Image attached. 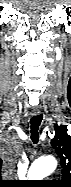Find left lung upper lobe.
Masks as SVG:
<instances>
[{"mask_svg": "<svg viewBox=\"0 0 71 187\" xmlns=\"http://www.w3.org/2000/svg\"><path fill=\"white\" fill-rule=\"evenodd\" d=\"M65 126L55 128V136L51 140V145L60 157L62 164V186H68L71 183V136L67 134Z\"/></svg>", "mask_w": 71, "mask_h": 187, "instance_id": "5c2ea615", "label": "left lung upper lobe"}]
</instances>
